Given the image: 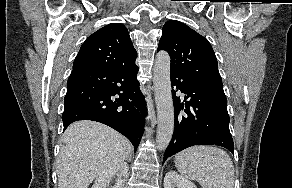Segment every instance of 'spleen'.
Returning <instances> with one entry per match:
<instances>
[{
    "instance_id": "obj_1",
    "label": "spleen",
    "mask_w": 292,
    "mask_h": 188,
    "mask_svg": "<svg viewBox=\"0 0 292 188\" xmlns=\"http://www.w3.org/2000/svg\"><path fill=\"white\" fill-rule=\"evenodd\" d=\"M175 167L202 188H234V166L230 156L215 146L197 145L175 155Z\"/></svg>"
}]
</instances>
